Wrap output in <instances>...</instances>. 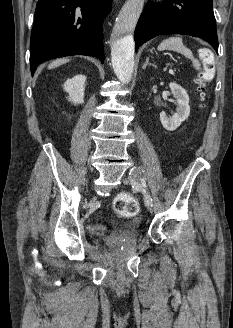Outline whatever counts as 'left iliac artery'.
<instances>
[{"instance_id": "44dca946", "label": "left iliac artery", "mask_w": 233, "mask_h": 328, "mask_svg": "<svg viewBox=\"0 0 233 328\" xmlns=\"http://www.w3.org/2000/svg\"><path fill=\"white\" fill-rule=\"evenodd\" d=\"M135 188L139 189L144 194L145 202L152 205V198L147 191L145 180L141 179L140 183L135 185Z\"/></svg>"}]
</instances>
